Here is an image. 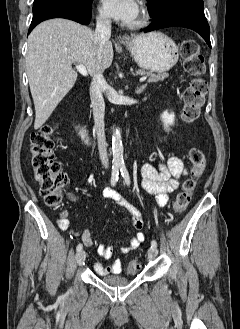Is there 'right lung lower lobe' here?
I'll list each match as a JSON object with an SVG mask.
<instances>
[{
	"label": "right lung lower lobe",
	"mask_w": 240,
	"mask_h": 329,
	"mask_svg": "<svg viewBox=\"0 0 240 329\" xmlns=\"http://www.w3.org/2000/svg\"><path fill=\"white\" fill-rule=\"evenodd\" d=\"M51 18H65L87 25L91 19V9L84 10L54 4L33 6V18L29 28V33L37 24Z\"/></svg>",
	"instance_id": "1"
}]
</instances>
